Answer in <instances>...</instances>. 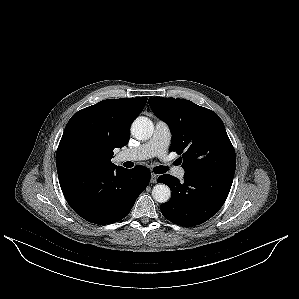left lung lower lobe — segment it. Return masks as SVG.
<instances>
[{"label": "left lung lower lobe", "instance_id": "obj_1", "mask_svg": "<svg viewBox=\"0 0 299 299\" xmlns=\"http://www.w3.org/2000/svg\"><path fill=\"white\" fill-rule=\"evenodd\" d=\"M233 176L215 171L185 172L182 183L171 175L160 176L158 182L172 191L171 199L160 207L163 216L181 226L202 224L224 204Z\"/></svg>", "mask_w": 299, "mask_h": 299}]
</instances>
